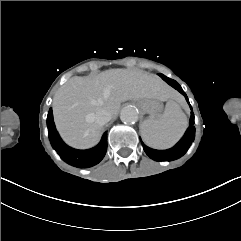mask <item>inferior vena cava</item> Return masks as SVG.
Returning a JSON list of instances; mask_svg holds the SVG:
<instances>
[{
	"mask_svg": "<svg viewBox=\"0 0 241 241\" xmlns=\"http://www.w3.org/2000/svg\"><path fill=\"white\" fill-rule=\"evenodd\" d=\"M111 120V113L105 109H100L96 113H89L86 116V121L89 123H97L99 125H104Z\"/></svg>",
	"mask_w": 241,
	"mask_h": 241,
	"instance_id": "1",
	"label": "inferior vena cava"
}]
</instances>
